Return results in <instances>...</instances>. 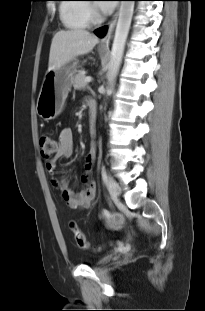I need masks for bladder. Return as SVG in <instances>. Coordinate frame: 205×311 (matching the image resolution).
Instances as JSON below:
<instances>
[{
	"instance_id": "31cf9c89",
	"label": "bladder",
	"mask_w": 205,
	"mask_h": 311,
	"mask_svg": "<svg viewBox=\"0 0 205 311\" xmlns=\"http://www.w3.org/2000/svg\"><path fill=\"white\" fill-rule=\"evenodd\" d=\"M113 258V255H106L100 259L97 260L96 265H103V264H107L108 262H110Z\"/></svg>"
}]
</instances>
